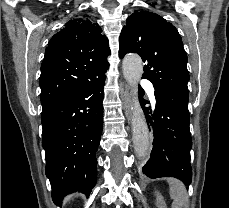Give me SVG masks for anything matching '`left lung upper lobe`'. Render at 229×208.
I'll return each mask as SVG.
<instances>
[{"mask_svg": "<svg viewBox=\"0 0 229 208\" xmlns=\"http://www.w3.org/2000/svg\"><path fill=\"white\" fill-rule=\"evenodd\" d=\"M119 56L138 53L145 62L143 78L171 107L188 111L187 56L176 28L156 13H133L119 37Z\"/></svg>", "mask_w": 229, "mask_h": 208, "instance_id": "1", "label": "left lung upper lobe"}]
</instances>
